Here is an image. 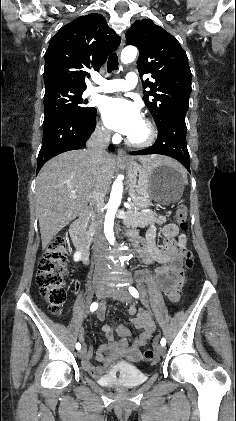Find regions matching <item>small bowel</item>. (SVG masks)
<instances>
[{
    "instance_id": "c3829d8e",
    "label": "small bowel",
    "mask_w": 236,
    "mask_h": 421,
    "mask_svg": "<svg viewBox=\"0 0 236 421\" xmlns=\"http://www.w3.org/2000/svg\"><path fill=\"white\" fill-rule=\"evenodd\" d=\"M163 235L168 240H172L174 238H178L179 241L177 243H175V245H176L178 251L180 253H183V251L185 249V240H186V237H185V235L183 233L180 232V229H179V227L176 224H174V223L167 224L163 228ZM146 236H147L148 242L149 243H152L153 240L156 237V227L155 226H150L149 229H148V231H147ZM141 319L145 323V329H144L145 330V337H144V339L142 340V342L137 347L143 345L145 343V341L150 337L151 333L154 330L153 323H152L151 319L148 317V315H146L144 313H141ZM117 331L119 333L120 332H124V333H126V335H128L127 329L125 327H123V326H118L117 327ZM100 353H101V351L97 353V356ZM85 355H86V353H85Z\"/></svg>"
}]
</instances>
